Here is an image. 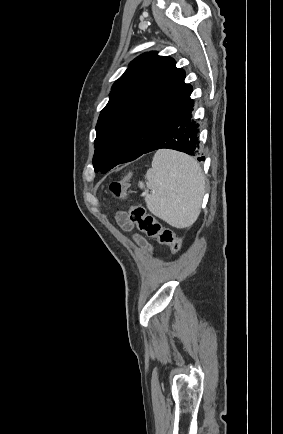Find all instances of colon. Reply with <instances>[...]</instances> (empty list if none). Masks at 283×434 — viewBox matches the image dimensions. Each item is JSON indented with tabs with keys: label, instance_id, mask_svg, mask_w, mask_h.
Returning a JSON list of instances; mask_svg holds the SVG:
<instances>
[{
	"label": "colon",
	"instance_id": "colon-1",
	"mask_svg": "<svg viewBox=\"0 0 283 434\" xmlns=\"http://www.w3.org/2000/svg\"><path fill=\"white\" fill-rule=\"evenodd\" d=\"M110 191L114 197L125 199L129 195L127 178L114 181L110 184ZM128 218L137 229L149 238L157 239L161 244L170 248L173 254L180 251L181 239L169 228H164L152 215L148 214L141 205H132L128 212Z\"/></svg>",
	"mask_w": 283,
	"mask_h": 434
}]
</instances>
